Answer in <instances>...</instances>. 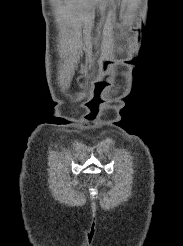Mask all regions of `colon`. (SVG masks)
<instances>
[{
    "label": "colon",
    "instance_id": "1",
    "mask_svg": "<svg viewBox=\"0 0 183 246\" xmlns=\"http://www.w3.org/2000/svg\"><path fill=\"white\" fill-rule=\"evenodd\" d=\"M88 180H89V182H96L97 179H96V177H89Z\"/></svg>",
    "mask_w": 183,
    "mask_h": 246
}]
</instances>
